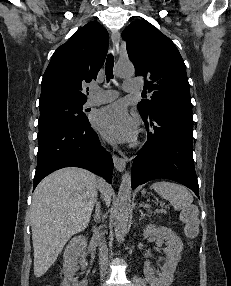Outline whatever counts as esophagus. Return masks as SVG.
<instances>
[{"instance_id":"1","label":"esophagus","mask_w":231,"mask_h":286,"mask_svg":"<svg viewBox=\"0 0 231 286\" xmlns=\"http://www.w3.org/2000/svg\"><path fill=\"white\" fill-rule=\"evenodd\" d=\"M111 41H112V51L115 56L118 55L119 52V43H120V34L118 31H113L111 33ZM113 162L117 171L123 172L125 169L126 161L124 158L113 154Z\"/></svg>"}]
</instances>
